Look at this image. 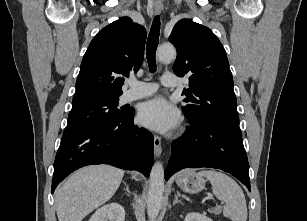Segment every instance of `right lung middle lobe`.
I'll return each instance as SVG.
<instances>
[{
  "mask_svg": "<svg viewBox=\"0 0 307 221\" xmlns=\"http://www.w3.org/2000/svg\"><path fill=\"white\" fill-rule=\"evenodd\" d=\"M118 101L119 98L116 97L73 103L63 134L122 117L127 111L117 108Z\"/></svg>",
  "mask_w": 307,
  "mask_h": 221,
  "instance_id": "right-lung-middle-lobe-1",
  "label": "right lung middle lobe"
}]
</instances>
